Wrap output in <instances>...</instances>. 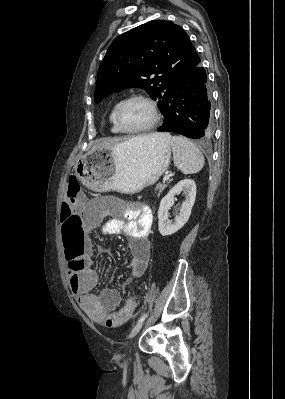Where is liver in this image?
Here are the masks:
<instances>
[{"label":"liver","mask_w":285,"mask_h":399,"mask_svg":"<svg viewBox=\"0 0 285 399\" xmlns=\"http://www.w3.org/2000/svg\"><path fill=\"white\" fill-rule=\"evenodd\" d=\"M159 133H154V134H150V135H144V136H138V137H133L131 139L127 138H112V139H104L102 141H100L99 143H97L96 145H94L92 147V150H96V149H113L116 146H118L121 143H124L126 141H130L133 139H138V138H155Z\"/></svg>","instance_id":"1"}]
</instances>
